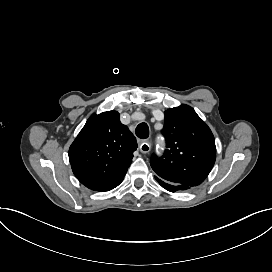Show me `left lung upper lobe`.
Instances as JSON below:
<instances>
[{
	"label": "left lung upper lobe",
	"mask_w": 272,
	"mask_h": 272,
	"mask_svg": "<svg viewBox=\"0 0 272 272\" xmlns=\"http://www.w3.org/2000/svg\"><path fill=\"white\" fill-rule=\"evenodd\" d=\"M166 147L161 157L152 155L156 175L173 184L194 187L201 184L216 160L214 136L194 109L182 104L165 111Z\"/></svg>",
	"instance_id": "obj_1"
}]
</instances>
